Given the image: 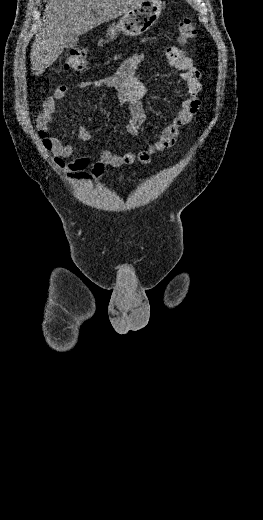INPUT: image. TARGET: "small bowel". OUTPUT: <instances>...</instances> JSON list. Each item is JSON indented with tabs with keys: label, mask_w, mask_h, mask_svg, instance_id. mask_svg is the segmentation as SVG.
I'll return each mask as SVG.
<instances>
[{
	"label": "small bowel",
	"mask_w": 263,
	"mask_h": 520,
	"mask_svg": "<svg viewBox=\"0 0 263 520\" xmlns=\"http://www.w3.org/2000/svg\"><path fill=\"white\" fill-rule=\"evenodd\" d=\"M168 66L181 72V78L185 82L187 95L182 99L180 108L175 112L172 121L157 133L155 140L138 153L115 154L110 150L99 152L98 160L91 163L86 156H79L66 161L73 154V146L63 143L60 139L52 137L49 141L53 153V161L68 179L89 184L100 178L107 166L121 167L132 165L136 162L148 164L157 152L165 151L173 147L178 139L181 127L190 123L200 108V93L202 85L200 72L194 66L191 58L175 46H169L164 51ZM144 55L135 53L128 57L112 76L98 80H82L78 88L107 87L116 91L118 100L128 104L130 118L126 130L130 134H137L146 119L145 110L141 102L146 93V86L137 73V67L142 62ZM70 88L66 85L59 86L54 93L43 102V110L38 117L37 124L41 131H47L56 109V102L67 96ZM79 140L90 143L92 136L83 127L79 132Z\"/></svg>",
	"instance_id": "small-bowel-1"
}]
</instances>
